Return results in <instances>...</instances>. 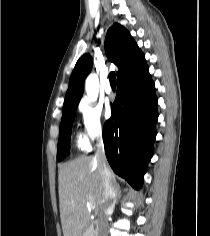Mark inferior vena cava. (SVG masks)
<instances>
[{
	"label": "inferior vena cava",
	"instance_id": "inferior-vena-cava-1",
	"mask_svg": "<svg viewBox=\"0 0 210 236\" xmlns=\"http://www.w3.org/2000/svg\"><path fill=\"white\" fill-rule=\"evenodd\" d=\"M95 160L97 162L102 179V201L98 218V236H108V216L113 213L117 193L115 189V183L113 181V175L107 165L102 140H100L97 144Z\"/></svg>",
	"mask_w": 210,
	"mask_h": 236
}]
</instances>
